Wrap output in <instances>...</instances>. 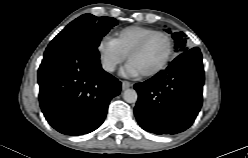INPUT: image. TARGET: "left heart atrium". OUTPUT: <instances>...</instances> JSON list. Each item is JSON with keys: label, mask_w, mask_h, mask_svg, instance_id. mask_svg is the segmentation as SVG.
Returning <instances> with one entry per match:
<instances>
[{"label": "left heart atrium", "mask_w": 248, "mask_h": 158, "mask_svg": "<svg viewBox=\"0 0 248 158\" xmlns=\"http://www.w3.org/2000/svg\"><path fill=\"white\" fill-rule=\"evenodd\" d=\"M121 74L125 77H136V76L140 75L141 72L132 61H129L121 69Z\"/></svg>", "instance_id": "39dd6f15"}]
</instances>
